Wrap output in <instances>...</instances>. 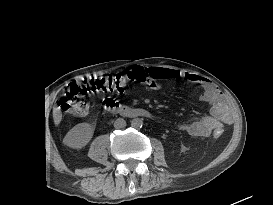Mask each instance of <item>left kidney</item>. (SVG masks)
<instances>
[{"instance_id": "left-kidney-1", "label": "left kidney", "mask_w": 273, "mask_h": 205, "mask_svg": "<svg viewBox=\"0 0 273 205\" xmlns=\"http://www.w3.org/2000/svg\"><path fill=\"white\" fill-rule=\"evenodd\" d=\"M181 151L185 152V151H187V148L185 146H181Z\"/></svg>"}]
</instances>
